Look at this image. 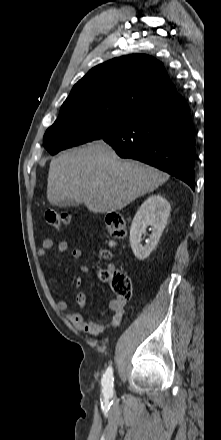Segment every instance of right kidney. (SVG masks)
<instances>
[{"instance_id":"obj_1","label":"right kidney","mask_w":221,"mask_h":440,"mask_svg":"<svg viewBox=\"0 0 221 440\" xmlns=\"http://www.w3.org/2000/svg\"><path fill=\"white\" fill-rule=\"evenodd\" d=\"M170 215V204L161 195L148 197L136 212L130 228V243L135 257L146 259L157 245ZM151 226V235L146 244H141L142 235Z\"/></svg>"}]
</instances>
